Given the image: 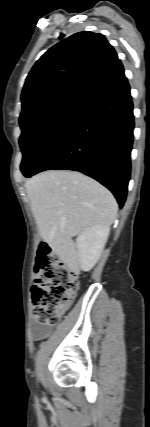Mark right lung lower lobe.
Wrapping results in <instances>:
<instances>
[{
	"label": "right lung lower lobe",
	"mask_w": 150,
	"mask_h": 427,
	"mask_svg": "<svg viewBox=\"0 0 150 427\" xmlns=\"http://www.w3.org/2000/svg\"><path fill=\"white\" fill-rule=\"evenodd\" d=\"M133 129V103L124 75L79 106L29 177L45 170L79 171L107 187L122 207L130 179Z\"/></svg>",
	"instance_id": "obj_1"
}]
</instances>
